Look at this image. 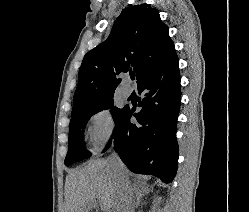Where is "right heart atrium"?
Segmentation results:
<instances>
[{
  "instance_id": "right-heart-atrium-1",
  "label": "right heart atrium",
  "mask_w": 249,
  "mask_h": 212,
  "mask_svg": "<svg viewBox=\"0 0 249 212\" xmlns=\"http://www.w3.org/2000/svg\"><path fill=\"white\" fill-rule=\"evenodd\" d=\"M115 133L116 121L110 109L101 107L88 116L87 134L94 151H102L114 140Z\"/></svg>"
}]
</instances>
